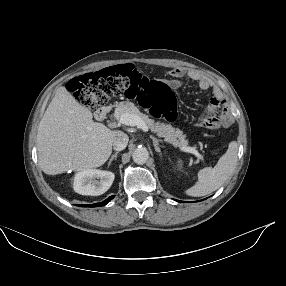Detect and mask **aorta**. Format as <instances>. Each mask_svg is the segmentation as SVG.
Wrapping results in <instances>:
<instances>
[{"instance_id":"obj_1","label":"aorta","mask_w":286,"mask_h":286,"mask_svg":"<svg viewBox=\"0 0 286 286\" xmlns=\"http://www.w3.org/2000/svg\"><path fill=\"white\" fill-rule=\"evenodd\" d=\"M149 153L145 147L135 149L133 153V160L136 164H144L148 160Z\"/></svg>"}]
</instances>
